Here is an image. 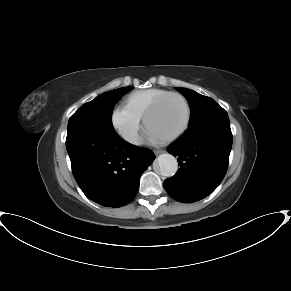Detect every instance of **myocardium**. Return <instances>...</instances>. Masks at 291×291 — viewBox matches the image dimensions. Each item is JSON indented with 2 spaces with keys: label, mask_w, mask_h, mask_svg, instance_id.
Here are the masks:
<instances>
[{
  "label": "myocardium",
  "mask_w": 291,
  "mask_h": 291,
  "mask_svg": "<svg viewBox=\"0 0 291 291\" xmlns=\"http://www.w3.org/2000/svg\"><path fill=\"white\" fill-rule=\"evenodd\" d=\"M169 97H177L179 98L185 106V110H186V117H185V121L183 123V125L173 134L163 138V141H172L178 137H180L181 135H183L187 129L190 126L191 123V118H192V112H191V106L188 102V100L186 99L185 96H183L182 94L178 93V92H168L164 95H162L161 97H159L150 107L149 109L146 111V113L143 116V121L145 126L148 125V121L150 119V117L153 115V113L163 104V102L168 99Z\"/></svg>",
  "instance_id": "1"
}]
</instances>
